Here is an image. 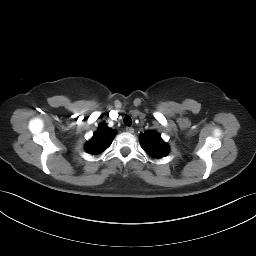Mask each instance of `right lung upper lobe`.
Listing matches in <instances>:
<instances>
[{
    "mask_svg": "<svg viewBox=\"0 0 256 256\" xmlns=\"http://www.w3.org/2000/svg\"><path fill=\"white\" fill-rule=\"evenodd\" d=\"M115 135V130L108 128L104 124H100L98 131L95 132L92 139L86 143V151L93 155L102 153L110 146Z\"/></svg>",
    "mask_w": 256,
    "mask_h": 256,
    "instance_id": "obj_1",
    "label": "right lung upper lobe"
}]
</instances>
